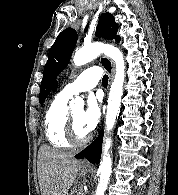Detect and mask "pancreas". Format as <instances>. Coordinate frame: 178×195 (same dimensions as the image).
<instances>
[{"label":"pancreas","instance_id":"pancreas-1","mask_svg":"<svg viewBox=\"0 0 178 195\" xmlns=\"http://www.w3.org/2000/svg\"><path fill=\"white\" fill-rule=\"evenodd\" d=\"M78 195H84V193L83 192H79V194Z\"/></svg>","mask_w":178,"mask_h":195}]
</instances>
